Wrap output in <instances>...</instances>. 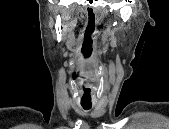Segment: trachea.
<instances>
[{"mask_svg": "<svg viewBox=\"0 0 169 129\" xmlns=\"http://www.w3.org/2000/svg\"><path fill=\"white\" fill-rule=\"evenodd\" d=\"M82 107L85 109V110H89L91 108V106H85V105H82Z\"/></svg>", "mask_w": 169, "mask_h": 129, "instance_id": "1", "label": "trachea"}]
</instances>
